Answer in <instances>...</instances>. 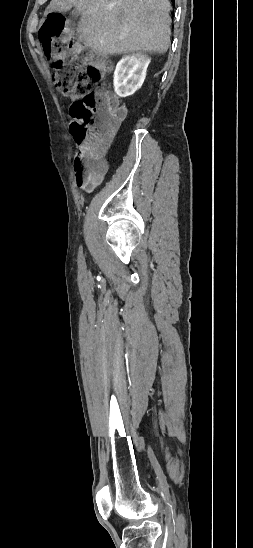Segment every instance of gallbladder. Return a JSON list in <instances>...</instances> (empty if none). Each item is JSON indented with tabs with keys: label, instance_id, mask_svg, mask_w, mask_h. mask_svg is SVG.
<instances>
[{
	"label": "gallbladder",
	"instance_id": "gallbladder-1",
	"mask_svg": "<svg viewBox=\"0 0 253 548\" xmlns=\"http://www.w3.org/2000/svg\"><path fill=\"white\" fill-rule=\"evenodd\" d=\"M71 15L74 16V17H78L79 16V12L74 9L72 12H71Z\"/></svg>",
	"mask_w": 253,
	"mask_h": 548
}]
</instances>
